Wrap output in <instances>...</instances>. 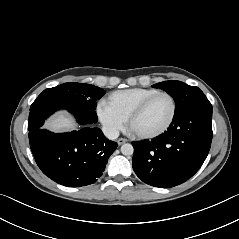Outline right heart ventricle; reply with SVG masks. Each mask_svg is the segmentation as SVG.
I'll list each match as a JSON object with an SVG mask.
<instances>
[{
  "label": "right heart ventricle",
  "mask_w": 239,
  "mask_h": 239,
  "mask_svg": "<svg viewBox=\"0 0 239 239\" xmlns=\"http://www.w3.org/2000/svg\"><path fill=\"white\" fill-rule=\"evenodd\" d=\"M153 88H130L110 93L104 103L125 120L135 106L149 95L157 92Z\"/></svg>",
  "instance_id": "right-heart-ventricle-1"
}]
</instances>
